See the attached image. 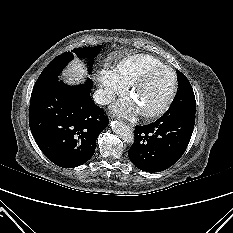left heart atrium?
<instances>
[{
    "instance_id": "left-heart-atrium-1",
    "label": "left heart atrium",
    "mask_w": 233,
    "mask_h": 233,
    "mask_svg": "<svg viewBox=\"0 0 233 233\" xmlns=\"http://www.w3.org/2000/svg\"><path fill=\"white\" fill-rule=\"evenodd\" d=\"M114 110L121 116L130 117L137 113L139 108L133 98H126L117 103Z\"/></svg>"
}]
</instances>
